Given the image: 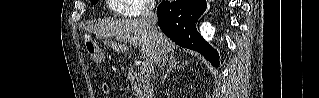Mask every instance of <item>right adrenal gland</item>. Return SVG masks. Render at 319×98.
I'll return each instance as SVG.
<instances>
[{
	"instance_id": "1",
	"label": "right adrenal gland",
	"mask_w": 319,
	"mask_h": 98,
	"mask_svg": "<svg viewBox=\"0 0 319 98\" xmlns=\"http://www.w3.org/2000/svg\"><path fill=\"white\" fill-rule=\"evenodd\" d=\"M184 67V63L182 62V65L180 64V61L177 60L174 56V54L170 55V60H169V68L167 69L166 73L164 74L162 80H165L168 76V74L176 68H183Z\"/></svg>"
}]
</instances>
